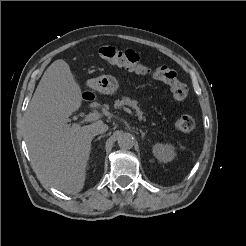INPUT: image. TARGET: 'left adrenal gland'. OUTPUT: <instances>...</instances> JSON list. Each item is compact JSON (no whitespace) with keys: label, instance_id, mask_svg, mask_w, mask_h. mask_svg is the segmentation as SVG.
Segmentation results:
<instances>
[{"label":"left adrenal gland","instance_id":"1","mask_svg":"<svg viewBox=\"0 0 246 246\" xmlns=\"http://www.w3.org/2000/svg\"><path fill=\"white\" fill-rule=\"evenodd\" d=\"M142 140L145 138V133L140 129Z\"/></svg>","mask_w":246,"mask_h":246}]
</instances>
